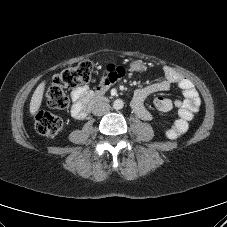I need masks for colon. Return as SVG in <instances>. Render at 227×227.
<instances>
[{"mask_svg":"<svg viewBox=\"0 0 227 227\" xmlns=\"http://www.w3.org/2000/svg\"><path fill=\"white\" fill-rule=\"evenodd\" d=\"M92 72V63L82 61L55 75L46 91L48 105L58 110L67 109L69 107V99L66 91L88 83ZM61 128V118L43 109L37 111L35 115V129L39 134L54 136Z\"/></svg>","mask_w":227,"mask_h":227,"instance_id":"obj_1","label":"colon"}]
</instances>
